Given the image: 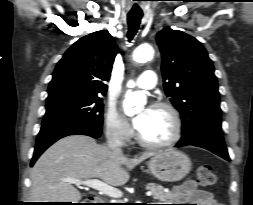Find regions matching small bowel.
<instances>
[{"mask_svg": "<svg viewBox=\"0 0 253 205\" xmlns=\"http://www.w3.org/2000/svg\"><path fill=\"white\" fill-rule=\"evenodd\" d=\"M175 199L180 202L195 203L187 205H223L217 203L212 194L199 190L194 181H188L175 192Z\"/></svg>", "mask_w": 253, "mask_h": 205, "instance_id": "obj_1", "label": "small bowel"}]
</instances>
